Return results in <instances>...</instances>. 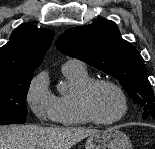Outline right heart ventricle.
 <instances>
[{"label": "right heart ventricle", "mask_w": 155, "mask_h": 149, "mask_svg": "<svg viewBox=\"0 0 155 149\" xmlns=\"http://www.w3.org/2000/svg\"><path fill=\"white\" fill-rule=\"evenodd\" d=\"M64 76L71 85L70 92L56 97L55 121L64 127H74L87 124L77 101L80 88L92 78L82 69H62Z\"/></svg>", "instance_id": "obj_1"}]
</instances>
